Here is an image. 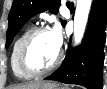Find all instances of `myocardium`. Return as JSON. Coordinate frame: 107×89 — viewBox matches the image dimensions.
Masks as SVG:
<instances>
[{"instance_id":"myocardium-1","label":"myocardium","mask_w":107,"mask_h":89,"mask_svg":"<svg viewBox=\"0 0 107 89\" xmlns=\"http://www.w3.org/2000/svg\"><path fill=\"white\" fill-rule=\"evenodd\" d=\"M45 32H50L49 28L45 26H39L34 28L26 37L24 40L21 50H20V55H19V63L23 71L26 73L32 75V76H39L45 73H48L52 70H54L56 67L59 66L63 59V53L61 50H59L58 56L55 59V61L47 66V67H36L33 66L30 61H29V52L31 49V46L34 42V40L42 33Z\"/></svg>"}]
</instances>
